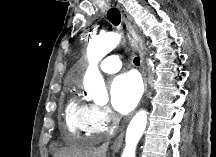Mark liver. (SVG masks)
Returning <instances> with one entry per match:
<instances>
[{
    "label": "liver",
    "mask_w": 216,
    "mask_h": 157,
    "mask_svg": "<svg viewBox=\"0 0 216 157\" xmlns=\"http://www.w3.org/2000/svg\"><path fill=\"white\" fill-rule=\"evenodd\" d=\"M56 157H105V153L83 145L72 146L61 150Z\"/></svg>",
    "instance_id": "1"
}]
</instances>
